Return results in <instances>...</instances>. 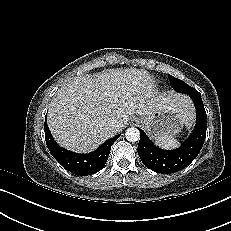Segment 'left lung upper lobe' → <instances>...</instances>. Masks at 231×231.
<instances>
[{
  "instance_id": "1",
  "label": "left lung upper lobe",
  "mask_w": 231,
  "mask_h": 231,
  "mask_svg": "<svg viewBox=\"0 0 231 231\" xmlns=\"http://www.w3.org/2000/svg\"><path fill=\"white\" fill-rule=\"evenodd\" d=\"M169 80L171 87L178 92L185 93L187 95L199 94V92L195 88L189 86L178 78L169 75Z\"/></svg>"
}]
</instances>
